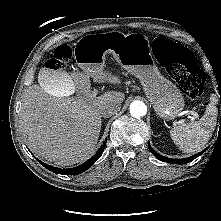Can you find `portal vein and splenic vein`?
I'll use <instances>...</instances> for the list:
<instances>
[{"label": "portal vein and splenic vein", "instance_id": "18ae733b", "mask_svg": "<svg viewBox=\"0 0 221 221\" xmlns=\"http://www.w3.org/2000/svg\"><path fill=\"white\" fill-rule=\"evenodd\" d=\"M94 92L96 93V91H94ZM54 93H57V92H54ZM186 113L193 115L195 118L198 117V114L194 111H186Z\"/></svg>", "mask_w": 221, "mask_h": 221}]
</instances>
